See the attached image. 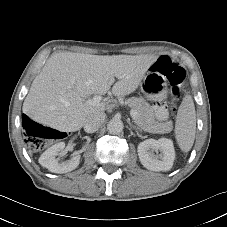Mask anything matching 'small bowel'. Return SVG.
Here are the masks:
<instances>
[{
    "label": "small bowel",
    "instance_id": "1",
    "mask_svg": "<svg viewBox=\"0 0 227 227\" xmlns=\"http://www.w3.org/2000/svg\"><path fill=\"white\" fill-rule=\"evenodd\" d=\"M172 108V103L170 101H158L154 108L155 115L157 119L164 120L167 117V110Z\"/></svg>",
    "mask_w": 227,
    "mask_h": 227
}]
</instances>
